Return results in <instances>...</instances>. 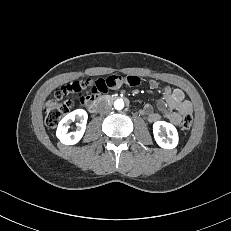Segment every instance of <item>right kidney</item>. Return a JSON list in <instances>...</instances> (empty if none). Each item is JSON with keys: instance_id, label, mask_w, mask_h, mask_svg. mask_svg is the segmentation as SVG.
Returning <instances> with one entry per match:
<instances>
[{"instance_id": "ca27d5eb", "label": "right kidney", "mask_w": 231, "mask_h": 231, "mask_svg": "<svg viewBox=\"0 0 231 231\" xmlns=\"http://www.w3.org/2000/svg\"><path fill=\"white\" fill-rule=\"evenodd\" d=\"M87 112L83 109H77L67 114L60 122L56 131L57 138L65 145H73L80 141L86 129ZM78 120L77 129L74 132H68L70 124Z\"/></svg>"}]
</instances>
